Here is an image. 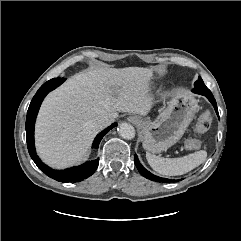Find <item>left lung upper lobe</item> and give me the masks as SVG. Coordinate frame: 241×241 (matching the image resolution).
Listing matches in <instances>:
<instances>
[{
	"label": "left lung upper lobe",
	"mask_w": 241,
	"mask_h": 241,
	"mask_svg": "<svg viewBox=\"0 0 241 241\" xmlns=\"http://www.w3.org/2000/svg\"><path fill=\"white\" fill-rule=\"evenodd\" d=\"M197 82H199V83H201V84H204V82H203V80L201 79V77H199V79H198Z\"/></svg>",
	"instance_id": "5c2ea615"
}]
</instances>
